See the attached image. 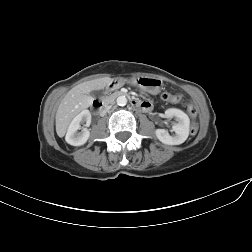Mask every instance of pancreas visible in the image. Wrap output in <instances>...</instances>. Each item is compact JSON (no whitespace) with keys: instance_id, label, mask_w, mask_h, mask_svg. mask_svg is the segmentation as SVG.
<instances>
[{"instance_id":"obj_1","label":"pancreas","mask_w":252,"mask_h":252,"mask_svg":"<svg viewBox=\"0 0 252 252\" xmlns=\"http://www.w3.org/2000/svg\"><path fill=\"white\" fill-rule=\"evenodd\" d=\"M139 94L140 95H143L149 102H151L152 104L154 105H157L158 104V101L154 98L151 97L150 94H148L146 91H143V90H140L139 91Z\"/></svg>"}]
</instances>
